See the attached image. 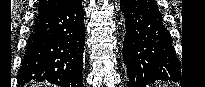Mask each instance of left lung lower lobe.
Masks as SVG:
<instances>
[{
  "mask_svg": "<svg viewBox=\"0 0 205 87\" xmlns=\"http://www.w3.org/2000/svg\"><path fill=\"white\" fill-rule=\"evenodd\" d=\"M120 7L126 18L123 60L127 86L178 79L180 63L156 1L120 0Z\"/></svg>",
  "mask_w": 205,
  "mask_h": 87,
  "instance_id": "obj_1",
  "label": "left lung lower lobe"
}]
</instances>
